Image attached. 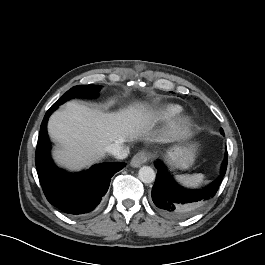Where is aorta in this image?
<instances>
[{"instance_id": "762f6f07", "label": "aorta", "mask_w": 265, "mask_h": 265, "mask_svg": "<svg viewBox=\"0 0 265 265\" xmlns=\"http://www.w3.org/2000/svg\"><path fill=\"white\" fill-rule=\"evenodd\" d=\"M138 177L143 183H152L156 174L150 166H143L139 169Z\"/></svg>"}]
</instances>
